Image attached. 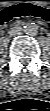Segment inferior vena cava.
<instances>
[{
  "instance_id": "602c4592",
  "label": "inferior vena cava",
  "mask_w": 50,
  "mask_h": 111,
  "mask_svg": "<svg viewBox=\"0 0 50 111\" xmlns=\"http://www.w3.org/2000/svg\"><path fill=\"white\" fill-rule=\"evenodd\" d=\"M8 33L10 36L20 35V34H22V28L19 26H15V27L11 28Z\"/></svg>"
}]
</instances>
